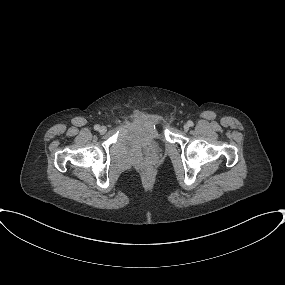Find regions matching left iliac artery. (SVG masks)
<instances>
[{"mask_svg":"<svg viewBox=\"0 0 285 285\" xmlns=\"http://www.w3.org/2000/svg\"><path fill=\"white\" fill-rule=\"evenodd\" d=\"M187 123H188L189 126H193L194 125L192 121H188Z\"/></svg>","mask_w":285,"mask_h":285,"instance_id":"1","label":"left iliac artery"}]
</instances>
